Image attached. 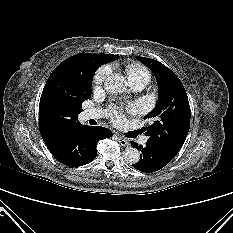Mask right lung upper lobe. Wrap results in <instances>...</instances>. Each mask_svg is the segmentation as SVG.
<instances>
[{
    "instance_id": "cb5924a9",
    "label": "right lung upper lobe",
    "mask_w": 233,
    "mask_h": 233,
    "mask_svg": "<svg viewBox=\"0 0 233 233\" xmlns=\"http://www.w3.org/2000/svg\"><path fill=\"white\" fill-rule=\"evenodd\" d=\"M88 53H79L71 56L60 63L48 78L45 88L51 85H69L73 81L82 77L84 71V59ZM103 60V64L114 61L119 58L117 55L97 54ZM80 124L74 122L61 129H46L40 125V133L48 148H56L66 142L73 129Z\"/></svg>"
}]
</instances>
